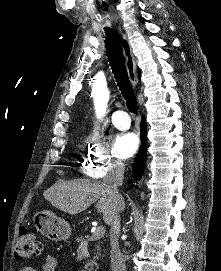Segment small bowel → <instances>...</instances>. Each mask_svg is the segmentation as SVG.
<instances>
[{"label": "small bowel", "mask_w": 221, "mask_h": 271, "mask_svg": "<svg viewBox=\"0 0 221 271\" xmlns=\"http://www.w3.org/2000/svg\"><path fill=\"white\" fill-rule=\"evenodd\" d=\"M57 266V259L52 254H48L45 257L44 262L41 264V271H56ZM21 271H35V269L30 266H26L22 268Z\"/></svg>", "instance_id": "c3829d8e"}]
</instances>
